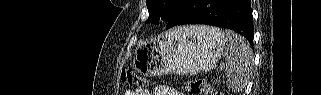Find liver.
Listing matches in <instances>:
<instances>
[{
    "instance_id": "obj_1",
    "label": "liver",
    "mask_w": 321,
    "mask_h": 95,
    "mask_svg": "<svg viewBox=\"0 0 321 95\" xmlns=\"http://www.w3.org/2000/svg\"><path fill=\"white\" fill-rule=\"evenodd\" d=\"M190 29H192V30H197V29H198V27H194V26H192V27H190Z\"/></svg>"
}]
</instances>
